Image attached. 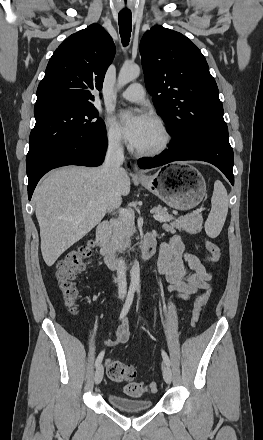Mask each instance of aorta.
Listing matches in <instances>:
<instances>
[{
  "label": "aorta",
  "instance_id": "aorta-1",
  "mask_svg": "<svg viewBox=\"0 0 263 440\" xmlns=\"http://www.w3.org/2000/svg\"><path fill=\"white\" fill-rule=\"evenodd\" d=\"M140 75V67L136 64H124L118 75V87L122 88L124 85L135 80ZM131 285L139 287L140 284V268L137 260L134 261L131 271Z\"/></svg>",
  "mask_w": 263,
  "mask_h": 440
}]
</instances>
